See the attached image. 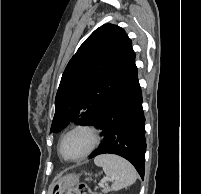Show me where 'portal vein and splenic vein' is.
<instances>
[{
    "label": "portal vein and splenic vein",
    "instance_id": "1",
    "mask_svg": "<svg viewBox=\"0 0 201 194\" xmlns=\"http://www.w3.org/2000/svg\"><path fill=\"white\" fill-rule=\"evenodd\" d=\"M107 181H111V179H108ZM104 184H105V181L102 180V181H100L99 186L104 187Z\"/></svg>",
    "mask_w": 201,
    "mask_h": 194
}]
</instances>
